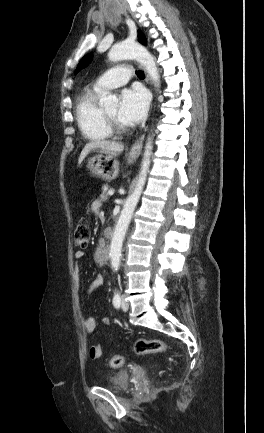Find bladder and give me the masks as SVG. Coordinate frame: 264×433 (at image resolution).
<instances>
[{"label": "bladder", "mask_w": 264, "mask_h": 433, "mask_svg": "<svg viewBox=\"0 0 264 433\" xmlns=\"http://www.w3.org/2000/svg\"><path fill=\"white\" fill-rule=\"evenodd\" d=\"M129 375L125 371L113 373L108 378L107 387L117 392L126 391L128 388Z\"/></svg>", "instance_id": "1"}]
</instances>
